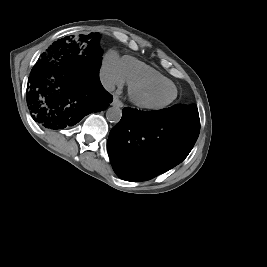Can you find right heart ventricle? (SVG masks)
<instances>
[{
  "label": "right heart ventricle",
  "instance_id": "e07e8e85",
  "mask_svg": "<svg viewBox=\"0 0 267 267\" xmlns=\"http://www.w3.org/2000/svg\"><path fill=\"white\" fill-rule=\"evenodd\" d=\"M121 67L124 79L129 84L141 80L170 81L152 67L129 56L121 59Z\"/></svg>",
  "mask_w": 267,
  "mask_h": 267
}]
</instances>
